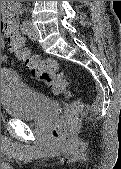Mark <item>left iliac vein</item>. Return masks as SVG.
<instances>
[{"label":"left iliac vein","mask_w":121,"mask_h":169,"mask_svg":"<svg viewBox=\"0 0 121 169\" xmlns=\"http://www.w3.org/2000/svg\"><path fill=\"white\" fill-rule=\"evenodd\" d=\"M32 41L38 40L39 33L32 22H29L28 30L25 32Z\"/></svg>","instance_id":"4c4485c4"}]
</instances>
